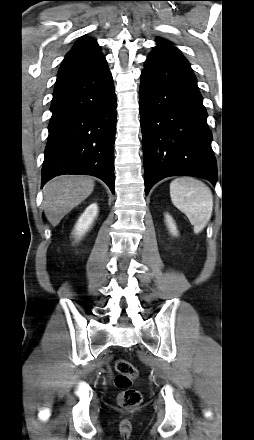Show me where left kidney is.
Wrapping results in <instances>:
<instances>
[{
	"label": "left kidney",
	"mask_w": 254,
	"mask_h": 440,
	"mask_svg": "<svg viewBox=\"0 0 254 440\" xmlns=\"http://www.w3.org/2000/svg\"><path fill=\"white\" fill-rule=\"evenodd\" d=\"M165 219H166V223H167V226L169 228L170 233H172V235L176 236L178 231H177V227H176V224H175L173 218L169 214H166Z\"/></svg>",
	"instance_id": "left-kidney-1"
}]
</instances>
